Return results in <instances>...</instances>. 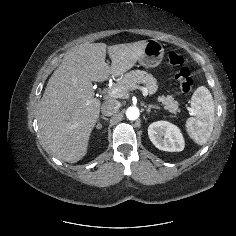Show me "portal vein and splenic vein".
Listing matches in <instances>:
<instances>
[{
  "label": "portal vein and splenic vein",
  "mask_w": 236,
  "mask_h": 236,
  "mask_svg": "<svg viewBox=\"0 0 236 236\" xmlns=\"http://www.w3.org/2000/svg\"><path fill=\"white\" fill-rule=\"evenodd\" d=\"M135 88L137 89L139 88L142 91L144 97L148 95V91L145 87L136 86ZM126 93H127V88L120 87V88H114L110 90L108 92V96L113 97V98H122L123 96H125Z\"/></svg>",
  "instance_id": "portal-vein-and-splenic-vein-1"
}]
</instances>
